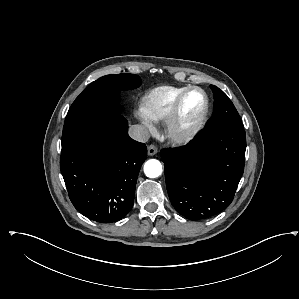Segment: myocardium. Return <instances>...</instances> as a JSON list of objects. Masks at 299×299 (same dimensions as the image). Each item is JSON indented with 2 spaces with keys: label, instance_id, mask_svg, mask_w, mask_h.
<instances>
[{
  "label": "myocardium",
  "instance_id": "myocardium-1",
  "mask_svg": "<svg viewBox=\"0 0 299 299\" xmlns=\"http://www.w3.org/2000/svg\"><path fill=\"white\" fill-rule=\"evenodd\" d=\"M198 91L201 93L204 105L199 116L190 124L180 123V114L184 100L189 93ZM209 112V97L207 93L198 86H190L184 89L176 98L172 108L165 119V134L169 140L177 144L190 141L203 127Z\"/></svg>",
  "mask_w": 299,
  "mask_h": 299
}]
</instances>
